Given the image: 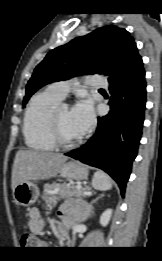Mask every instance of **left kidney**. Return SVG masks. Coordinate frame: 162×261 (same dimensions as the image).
<instances>
[{
  "label": "left kidney",
  "instance_id": "5707ae66",
  "mask_svg": "<svg viewBox=\"0 0 162 261\" xmlns=\"http://www.w3.org/2000/svg\"><path fill=\"white\" fill-rule=\"evenodd\" d=\"M112 216V209L105 210L100 216V224L102 226H107Z\"/></svg>",
  "mask_w": 162,
  "mask_h": 261
}]
</instances>
